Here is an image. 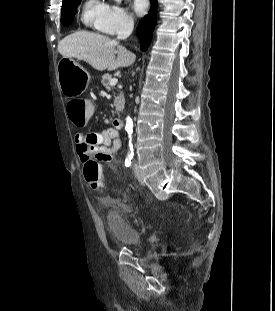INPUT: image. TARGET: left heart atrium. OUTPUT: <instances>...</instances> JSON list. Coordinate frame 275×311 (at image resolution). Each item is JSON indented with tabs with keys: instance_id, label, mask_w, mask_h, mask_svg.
<instances>
[{
	"instance_id": "obj_1",
	"label": "left heart atrium",
	"mask_w": 275,
	"mask_h": 311,
	"mask_svg": "<svg viewBox=\"0 0 275 311\" xmlns=\"http://www.w3.org/2000/svg\"><path fill=\"white\" fill-rule=\"evenodd\" d=\"M132 6L137 15H143L148 9V0H133Z\"/></svg>"
}]
</instances>
